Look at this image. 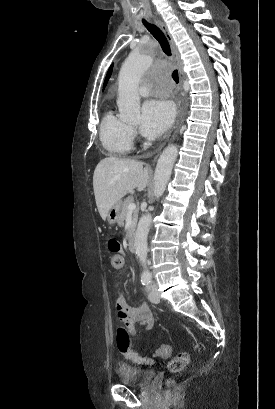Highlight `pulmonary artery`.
Returning <instances> with one entry per match:
<instances>
[{
  "label": "pulmonary artery",
  "mask_w": 275,
  "mask_h": 409,
  "mask_svg": "<svg viewBox=\"0 0 275 409\" xmlns=\"http://www.w3.org/2000/svg\"><path fill=\"white\" fill-rule=\"evenodd\" d=\"M150 92H151V87L145 85V86L142 87V89L140 91V94L142 96H145V95H147V93H150Z\"/></svg>",
  "instance_id": "obj_1"
}]
</instances>
